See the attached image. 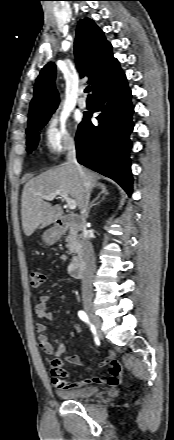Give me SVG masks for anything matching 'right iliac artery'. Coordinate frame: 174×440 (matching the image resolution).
<instances>
[{
  "label": "right iliac artery",
  "instance_id": "obj_1",
  "mask_svg": "<svg viewBox=\"0 0 174 440\" xmlns=\"http://www.w3.org/2000/svg\"><path fill=\"white\" fill-rule=\"evenodd\" d=\"M78 316L80 317V319L86 323H88L90 326H92V324L89 321V318L87 316V314L84 311H79L78 312Z\"/></svg>",
  "mask_w": 174,
  "mask_h": 440
}]
</instances>
